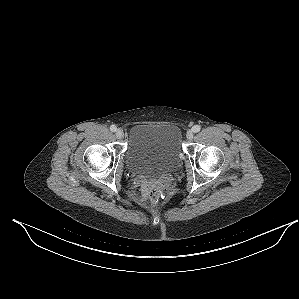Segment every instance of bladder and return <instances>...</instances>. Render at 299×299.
Here are the masks:
<instances>
[{
  "mask_svg": "<svg viewBox=\"0 0 299 299\" xmlns=\"http://www.w3.org/2000/svg\"><path fill=\"white\" fill-rule=\"evenodd\" d=\"M181 133L167 123L134 126L126 152L128 168L139 175L163 176L175 172L181 164Z\"/></svg>",
  "mask_w": 299,
  "mask_h": 299,
  "instance_id": "bladder-1",
  "label": "bladder"
}]
</instances>
